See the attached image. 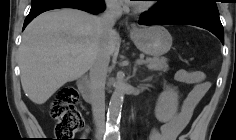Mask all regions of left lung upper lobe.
Wrapping results in <instances>:
<instances>
[{
  "label": "left lung upper lobe",
  "mask_w": 236,
  "mask_h": 140,
  "mask_svg": "<svg viewBox=\"0 0 236 140\" xmlns=\"http://www.w3.org/2000/svg\"><path fill=\"white\" fill-rule=\"evenodd\" d=\"M163 12L199 11L211 14H219L216 0H161L156 9Z\"/></svg>",
  "instance_id": "left-lung-upper-lobe-1"
}]
</instances>
